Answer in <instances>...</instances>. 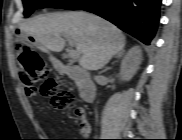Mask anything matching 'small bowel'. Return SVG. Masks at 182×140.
<instances>
[{
    "label": "small bowel",
    "instance_id": "obj_1",
    "mask_svg": "<svg viewBox=\"0 0 182 140\" xmlns=\"http://www.w3.org/2000/svg\"><path fill=\"white\" fill-rule=\"evenodd\" d=\"M80 134L83 138H88L90 134V126L87 122L83 121L80 125ZM84 140V139H83ZM86 140V139H85Z\"/></svg>",
    "mask_w": 182,
    "mask_h": 140
}]
</instances>
